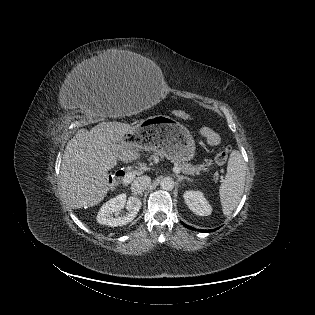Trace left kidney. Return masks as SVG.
<instances>
[{
	"label": "left kidney",
	"instance_id": "1",
	"mask_svg": "<svg viewBox=\"0 0 315 315\" xmlns=\"http://www.w3.org/2000/svg\"><path fill=\"white\" fill-rule=\"evenodd\" d=\"M184 201L189 209L199 216H207L212 213V207L201 191H185Z\"/></svg>",
	"mask_w": 315,
	"mask_h": 315
}]
</instances>
